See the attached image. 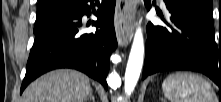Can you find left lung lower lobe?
Returning <instances> with one entry per match:
<instances>
[{
  "mask_svg": "<svg viewBox=\"0 0 221 102\" xmlns=\"http://www.w3.org/2000/svg\"><path fill=\"white\" fill-rule=\"evenodd\" d=\"M144 2L150 7L149 0ZM164 2L174 27L148 24L143 78L159 71L193 70L221 88V46L215 42L213 20L182 2Z\"/></svg>",
  "mask_w": 221,
  "mask_h": 102,
  "instance_id": "1",
  "label": "left lung lower lobe"
}]
</instances>
